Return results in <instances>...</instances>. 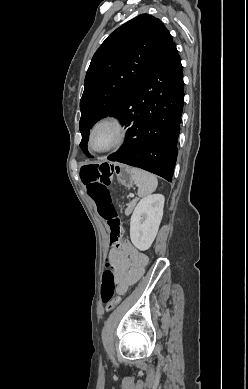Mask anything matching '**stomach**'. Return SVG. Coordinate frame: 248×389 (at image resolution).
<instances>
[{
	"label": "stomach",
	"mask_w": 248,
	"mask_h": 389,
	"mask_svg": "<svg viewBox=\"0 0 248 389\" xmlns=\"http://www.w3.org/2000/svg\"><path fill=\"white\" fill-rule=\"evenodd\" d=\"M129 169L130 167L126 166L125 164L111 165V170L114 171V176H117L118 181L126 187H131L134 183Z\"/></svg>",
	"instance_id": "stomach-1"
}]
</instances>
